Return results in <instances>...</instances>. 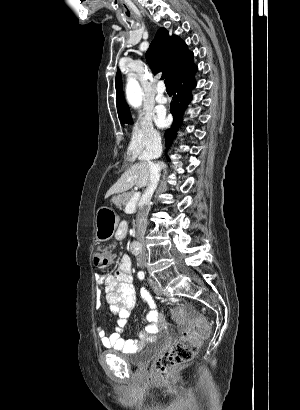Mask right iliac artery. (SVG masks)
<instances>
[{"mask_svg": "<svg viewBox=\"0 0 300 410\" xmlns=\"http://www.w3.org/2000/svg\"><path fill=\"white\" fill-rule=\"evenodd\" d=\"M138 278H139L140 280H144V279H145V274H144L143 271H140V272L138 273Z\"/></svg>", "mask_w": 300, "mask_h": 410, "instance_id": "obj_1", "label": "right iliac artery"}]
</instances>
